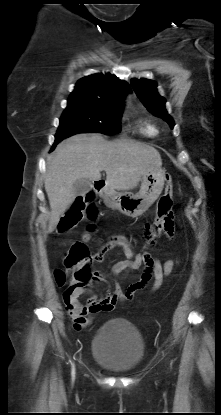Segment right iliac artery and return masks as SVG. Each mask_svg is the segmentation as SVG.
<instances>
[{
    "label": "right iliac artery",
    "instance_id": "82829eb1",
    "mask_svg": "<svg viewBox=\"0 0 221 415\" xmlns=\"http://www.w3.org/2000/svg\"><path fill=\"white\" fill-rule=\"evenodd\" d=\"M72 374L74 375V369H73V371H72Z\"/></svg>",
    "mask_w": 221,
    "mask_h": 415
}]
</instances>
